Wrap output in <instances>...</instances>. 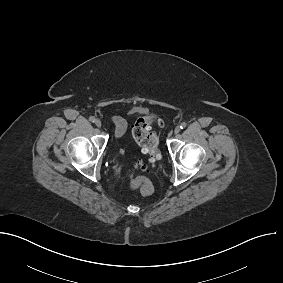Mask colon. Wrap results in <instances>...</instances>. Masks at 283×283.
Segmentation results:
<instances>
[{"label": "colon", "instance_id": "5ec220e1", "mask_svg": "<svg viewBox=\"0 0 283 283\" xmlns=\"http://www.w3.org/2000/svg\"><path fill=\"white\" fill-rule=\"evenodd\" d=\"M160 125H162L161 117L150 113L138 118L132 127L134 139L142 148V151L150 155L152 163L158 158V137L152 131V128ZM138 166L142 170H147V165L144 163H139ZM131 187L138 189L142 195H150L153 192L151 181L145 177L132 181Z\"/></svg>", "mask_w": 283, "mask_h": 283}]
</instances>
